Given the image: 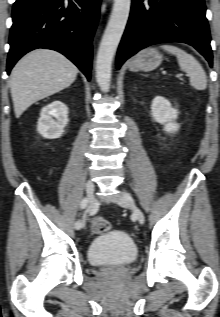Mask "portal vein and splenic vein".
Here are the masks:
<instances>
[{
    "mask_svg": "<svg viewBox=\"0 0 220 317\" xmlns=\"http://www.w3.org/2000/svg\"><path fill=\"white\" fill-rule=\"evenodd\" d=\"M163 73H165V72H163ZM182 76H183L182 74H177L176 75V77H178V78H182Z\"/></svg>",
    "mask_w": 220,
    "mask_h": 317,
    "instance_id": "obj_1",
    "label": "portal vein and splenic vein"
}]
</instances>
